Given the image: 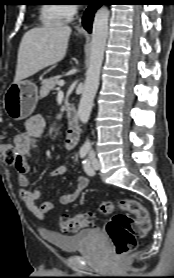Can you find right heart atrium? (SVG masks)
Here are the masks:
<instances>
[{
    "label": "right heart atrium",
    "mask_w": 174,
    "mask_h": 278,
    "mask_svg": "<svg viewBox=\"0 0 174 278\" xmlns=\"http://www.w3.org/2000/svg\"><path fill=\"white\" fill-rule=\"evenodd\" d=\"M66 13L71 18L77 11V5L75 4H68L65 5Z\"/></svg>",
    "instance_id": "1"
}]
</instances>
